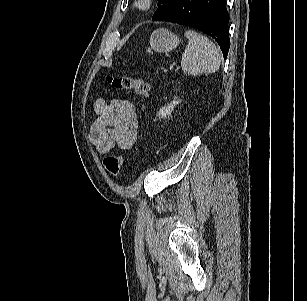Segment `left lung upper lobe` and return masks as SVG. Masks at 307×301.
<instances>
[{
	"mask_svg": "<svg viewBox=\"0 0 307 301\" xmlns=\"http://www.w3.org/2000/svg\"><path fill=\"white\" fill-rule=\"evenodd\" d=\"M179 0H158V9L155 11L152 20L157 21L167 14Z\"/></svg>",
	"mask_w": 307,
	"mask_h": 301,
	"instance_id": "left-lung-upper-lobe-1",
	"label": "left lung upper lobe"
}]
</instances>
